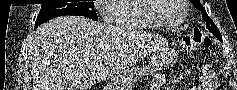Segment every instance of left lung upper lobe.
<instances>
[{"mask_svg":"<svg viewBox=\"0 0 237 90\" xmlns=\"http://www.w3.org/2000/svg\"><path fill=\"white\" fill-rule=\"evenodd\" d=\"M190 2L197 8L200 9L202 11V17L203 19L206 21V27L208 28V30L215 35L220 41H222L221 38V34L219 32V30L217 29V27L215 26V24L212 22V20L209 18V16L207 15L205 9L203 8V6L200 3V0H190Z\"/></svg>","mask_w":237,"mask_h":90,"instance_id":"left-lung-upper-lobe-1","label":"left lung upper lobe"}]
</instances>
